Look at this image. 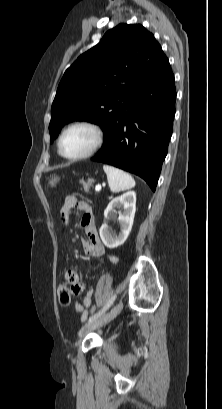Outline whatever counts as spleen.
<instances>
[{"label":"spleen","mask_w":222,"mask_h":409,"mask_svg":"<svg viewBox=\"0 0 222 409\" xmlns=\"http://www.w3.org/2000/svg\"><path fill=\"white\" fill-rule=\"evenodd\" d=\"M103 170L107 175V181L111 192L117 193L131 189L135 186V181L132 176L123 170L109 165H103Z\"/></svg>","instance_id":"spleen-1"}]
</instances>
